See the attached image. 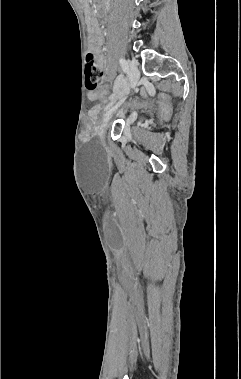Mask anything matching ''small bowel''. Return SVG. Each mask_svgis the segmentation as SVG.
Masks as SVG:
<instances>
[{
	"label": "small bowel",
	"mask_w": 241,
	"mask_h": 379,
	"mask_svg": "<svg viewBox=\"0 0 241 379\" xmlns=\"http://www.w3.org/2000/svg\"><path fill=\"white\" fill-rule=\"evenodd\" d=\"M91 42H92V52L98 55L100 45H101V38L95 29L92 30ZM98 65L101 69L103 68L102 61L99 57H98ZM85 91L86 93H89V98L91 100L96 99L97 96L99 95V90L97 86H86Z\"/></svg>",
	"instance_id": "obj_1"
}]
</instances>
